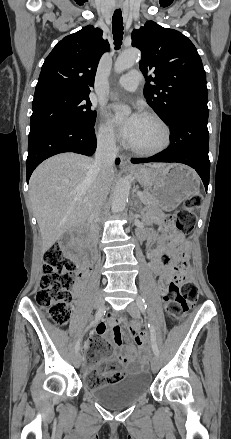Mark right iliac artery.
Instances as JSON below:
<instances>
[{
    "label": "right iliac artery",
    "mask_w": 231,
    "mask_h": 439,
    "mask_svg": "<svg viewBox=\"0 0 231 439\" xmlns=\"http://www.w3.org/2000/svg\"><path fill=\"white\" fill-rule=\"evenodd\" d=\"M97 317H98V313H96V318H95V320L91 322V324H90V326H89L88 328H90L91 326H93L94 324L97 323V321H98ZM88 328H87V329H88ZM79 349H80V340H78L77 343H76V345H75V351L78 352Z\"/></svg>",
    "instance_id": "right-iliac-artery-1"
}]
</instances>
